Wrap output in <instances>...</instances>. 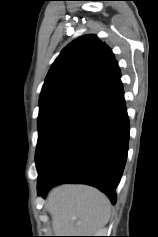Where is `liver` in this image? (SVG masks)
I'll use <instances>...</instances> for the list:
<instances>
[{"instance_id": "obj_1", "label": "liver", "mask_w": 158, "mask_h": 237, "mask_svg": "<svg viewBox=\"0 0 158 237\" xmlns=\"http://www.w3.org/2000/svg\"><path fill=\"white\" fill-rule=\"evenodd\" d=\"M46 207L52 217L55 236L99 234L111 215L110 201L103 193L78 184L52 189Z\"/></svg>"}]
</instances>
